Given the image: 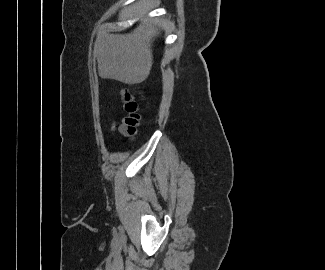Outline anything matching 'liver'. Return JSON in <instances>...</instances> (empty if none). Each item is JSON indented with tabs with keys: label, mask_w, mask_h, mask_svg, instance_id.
<instances>
[{
	"label": "liver",
	"mask_w": 325,
	"mask_h": 270,
	"mask_svg": "<svg viewBox=\"0 0 325 270\" xmlns=\"http://www.w3.org/2000/svg\"><path fill=\"white\" fill-rule=\"evenodd\" d=\"M159 34L156 26L144 21L129 34L98 36L94 54L97 57L99 76L125 84L145 81L153 64L151 45Z\"/></svg>",
	"instance_id": "obj_1"
}]
</instances>
